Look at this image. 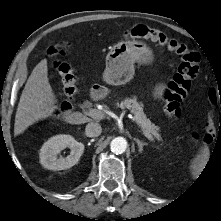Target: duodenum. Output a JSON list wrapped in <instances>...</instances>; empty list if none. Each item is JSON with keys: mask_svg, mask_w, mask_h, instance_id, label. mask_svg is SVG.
I'll list each match as a JSON object with an SVG mask.
<instances>
[{"mask_svg": "<svg viewBox=\"0 0 221 221\" xmlns=\"http://www.w3.org/2000/svg\"><path fill=\"white\" fill-rule=\"evenodd\" d=\"M102 93V89L99 87L97 90H95L93 93H92V98H98V96Z\"/></svg>", "mask_w": 221, "mask_h": 221, "instance_id": "410a0bca", "label": "duodenum"}]
</instances>
